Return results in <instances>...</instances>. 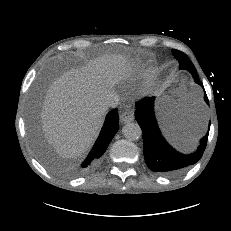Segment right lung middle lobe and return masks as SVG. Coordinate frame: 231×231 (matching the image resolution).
Wrapping results in <instances>:
<instances>
[{
    "label": "right lung middle lobe",
    "mask_w": 231,
    "mask_h": 231,
    "mask_svg": "<svg viewBox=\"0 0 231 231\" xmlns=\"http://www.w3.org/2000/svg\"><path fill=\"white\" fill-rule=\"evenodd\" d=\"M32 133H33V138H34V142H35V145L37 147V149H40V138H39V133L37 130H33L32 129Z\"/></svg>",
    "instance_id": "dd1d6c3e"
}]
</instances>
